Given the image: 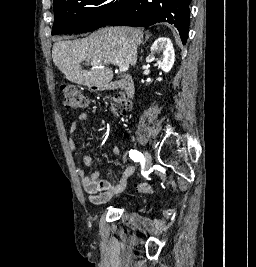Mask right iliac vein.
Returning a JSON list of instances; mask_svg holds the SVG:
<instances>
[{
    "instance_id": "1",
    "label": "right iliac vein",
    "mask_w": 256,
    "mask_h": 267,
    "mask_svg": "<svg viewBox=\"0 0 256 267\" xmlns=\"http://www.w3.org/2000/svg\"><path fill=\"white\" fill-rule=\"evenodd\" d=\"M143 159H144V161H143L144 167L149 168L151 166L152 158H151V155L147 151L144 152Z\"/></svg>"
}]
</instances>
